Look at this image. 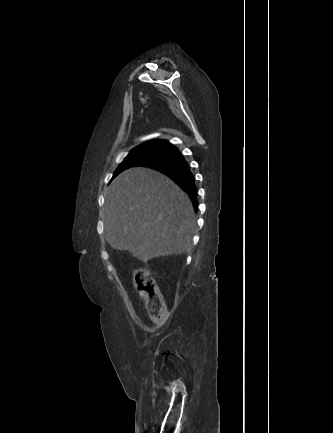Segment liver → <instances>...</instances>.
Segmentation results:
<instances>
[{
    "label": "liver",
    "instance_id": "6515ba94",
    "mask_svg": "<svg viewBox=\"0 0 333 433\" xmlns=\"http://www.w3.org/2000/svg\"><path fill=\"white\" fill-rule=\"evenodd\" d=\"M194 215L188 195L170 178L133 167L119 174L105 195V237L112 248L147 263L188 249Z\"/></svg>",
    "mask_w": 333,
    "mask_h": 433
}]
</instances>
